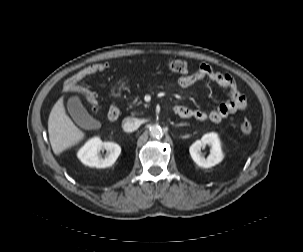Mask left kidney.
Returning <instances> with one entry per match:
<instances>
[{"instance_id": "obj_1", "label": "left kidney", "mask_w": 303, "mask_h": 252, "mask_svg": "<svg viewBox=\"0 0 303 252\" xmlns=\"http://www.w3.org/2000/svg\"><path fill=\"white\" fill-rule=\"evenodd\" d=\"M206 145L210 146V154L204 158L201 149ZM193 161L200 167L210 168L222 161L224 155L217 133L204 134L200 140L195 141L189 148Z\"/></svg>"}]
</instances>
